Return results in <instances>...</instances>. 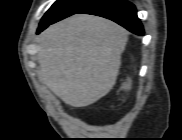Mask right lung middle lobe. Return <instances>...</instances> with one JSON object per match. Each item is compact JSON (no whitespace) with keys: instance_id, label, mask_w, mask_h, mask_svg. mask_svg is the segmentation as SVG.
<instances>
[{"instance_id":"dd1d6c3e","label":"right lung middle lobe","mask_w":182,"mask_h":140,"mask_svg":"<svg viewBox=\"0 0 182 140\" xmlns=\"http://www.w3.org/2000/svg\"><path fill=\"white\" fill-rule=\"evenodd\" d=\"M92 1L94 0H57L43 16L39 28L47 27L75 14Z\"/></svg>"}]
</instances>
